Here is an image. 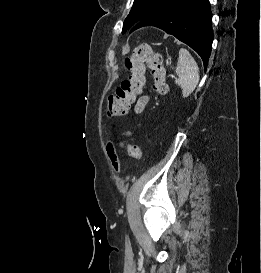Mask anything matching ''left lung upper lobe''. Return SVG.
Returning a JSON list of instances; mask_svg holds the SVG:
<instances>
[{"instance_id":"obj_1","label":"left lung upper lobe","mask_w":261,"mask_h":273,"mask_svg":"<svg viewBox=\"0 0 261 273\" xmlns=\"http://www.w3.org/2000/svg\"><path fill=\"white\" fill-rule=\"evenodd\" d=\"M169 0H134L133 7L123 23L122 33L132 28L140 20Z\"/></svg>"}]
</instances>
